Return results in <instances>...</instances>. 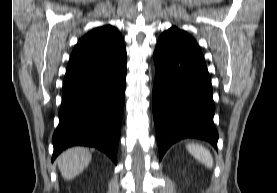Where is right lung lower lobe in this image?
<instances>
[{
  "mask_svg": "<svg viewBox=\"0 0 277 193\" xmlns=\"http://www.w3.org/2000/svg\"><path fill=\"white\" fill-rule=\"evenodd\" d=\"M126 50L97 67L66 73L52 161L64 149L95 147L117 164L124 110Z\"/></svg>",
  "mask_w": 277,
  "mask_h": 193,
  "instance_id": "right-lung-lower-lobe-1",
  "label": "right lung lower lobe"
}]
</instances>
